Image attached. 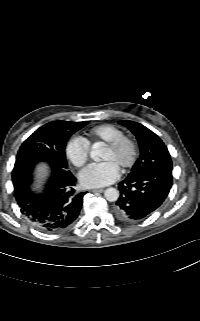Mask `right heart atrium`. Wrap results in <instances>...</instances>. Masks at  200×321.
Instances as JSON below:
<instances>
[{"instance_id":"right-heart-atrium-1","label":"right heart atrium","mask_w":200,"mask_h":321,"mask_svg":"<svg viewBox=\"0 0 200 321\" xmlns=\"http://www.w3.org/2000/svg\"><path fill=\"white\" fill-rule=\"evenodd\" d=\"M66 156L69 161L77 168L82 167L89 157V144L80 137L74 136L70 138L65 147Z\"/></svg>"}]
</instances>
